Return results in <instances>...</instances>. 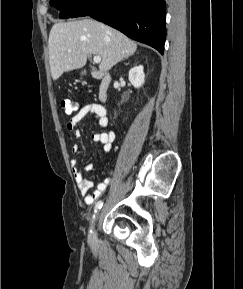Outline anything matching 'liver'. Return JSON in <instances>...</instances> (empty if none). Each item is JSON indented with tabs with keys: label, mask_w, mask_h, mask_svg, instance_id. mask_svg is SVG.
Segmentation results:
<instances>
[{
	"label": "liver",
	"mask_w": 243,
	"mask_h": 289,
	"mask_svg": "<svg viewBox=\"0 0 243 289\" xmlns=\"http://www.w3.org/2000/svg\"><path fill=\"white\" fill-rule=\"evenodd\" d=\"M49 63L53 80L85 66L91 54L101 57L99 70L109 71L135 53L137 45L120 31L84 18L53 25L49 34Z\"/></svg>",
	"instance_id": "obj_1"
}]
</instances>
